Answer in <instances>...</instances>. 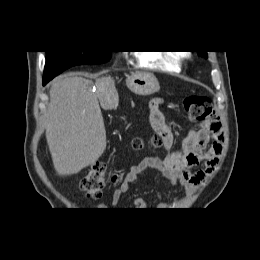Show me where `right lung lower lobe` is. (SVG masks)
<instances>
[{"mask_svg":"<svg viewBox=\"0 0 260 260\" xmlns=\"http://www.w3.org/2000/svg\"><path fill=\"white\" fill-rule=\"evenodd\" d=\"M48 81V79L43 78V84H46Z\"/></svg>","mask_w":260,"mask_h":260,"instance_id":"right-lung-lower-lobe-1","label":"right lung lower lobe"}]
</instances>
